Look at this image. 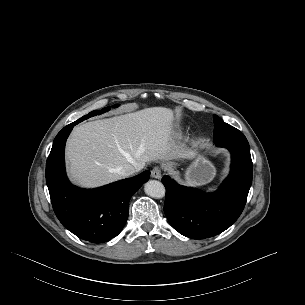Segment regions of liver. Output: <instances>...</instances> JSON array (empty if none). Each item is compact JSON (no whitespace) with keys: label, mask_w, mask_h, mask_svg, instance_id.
I'll return each mask as SVG.
<instances>
[{"label":"liver","mask_w":305,"mask_h":305,"mask_svg":"<svg viewBox=\"0 0 305 305\" xmlns=\"http://www.w3.org/2000/svg\"><path fill=\"white\" fill-rule=\"evenodd\" d=\"M173 111L150 107L133 113L78 125L66 145L71 179L83 187L116 181L115 169L127 164L186 158L173 140Z\"/></svg>","instance_id":"6515ba94"}]
</instances>
